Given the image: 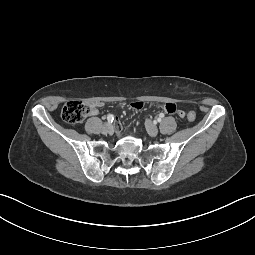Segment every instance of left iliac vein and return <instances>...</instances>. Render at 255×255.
Masks as SVG:
<instances>
[{
    "label": "left iliac vein",
    "mask_w": 255,
    "mask_h": 255,
    "mask_svg": "<svg viewBox=\"0 0 255 255\" xmlns=\"http://www.w3.org/2000/svg\"><path fill=\"white\" fill-rule=\"evenodd\" d=\"M146 129L150 136H156L158 134V128L151 120H146Z\"/></svg>",
    "instance_id": "obj_1"
}]
</instances>
